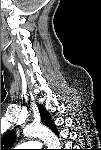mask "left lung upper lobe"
I'll use <instances>...</instances> for the list:
<instances>
[{
  "instance_id": "1",
  "label": "left lung upper lobe",
  "mask_w": 101,
  "mask_h": 150,
  "mask_svg": "<svg viewBox=\"0 0 101 150\" xmlns=\"http://www.w3.org/2000/svg\"><path fill=\"white\" fill-rule=\"evenodd\" d=\"M38 109L40 112L42 123L47 127H49L54 133H58V130L56 129L53 121L51 120V116L47 112V110L42 105H39ZM15 138H16L15 131L6 132L1 138L2 150H9V148L13 145Z\"/></svg>"
}]
</instances>
